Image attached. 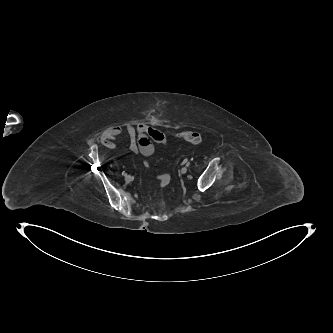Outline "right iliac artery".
<instances>
[{
	"mask_svg": "<svg viewBox=\"0 0 333 333\" xmlns=\"http://www.w3.org/2000/svg\"><path fill=\"white\" fill-rule=\"evenodd\" d=\"M122 174H123L125 177H127V176H128L126 172H123Z\"/></svg>",
	"mask_w": 333,
	"mask_h": 333,
	"instance_id": "1",
	"label": "right iliac artery"
}]
</instances>
